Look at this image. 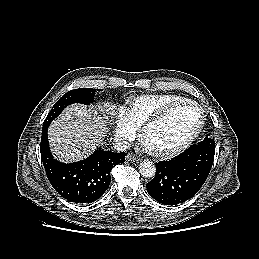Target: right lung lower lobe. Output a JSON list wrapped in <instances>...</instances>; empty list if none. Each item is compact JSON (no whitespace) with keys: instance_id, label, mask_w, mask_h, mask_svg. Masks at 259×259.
<instances>
[{"instance_id":"98d812e1","label":"right lung lower lobe","mask_w":259,"mask_h":259,"mask_svg":"<svg viewBox=\"0 0 259 259\" xmlns=\"http://www.w3.org/2000/svg\"><path fill=\"white\" fill-rule=\"evenodd\" d=\"M47 131L48 126H43L40 153L53 188L74 203H90L99 199L109 188L112 168L125 161V153L99 149L82 161L64 164L51 155Z\"/></svg>"}]
</instances>
